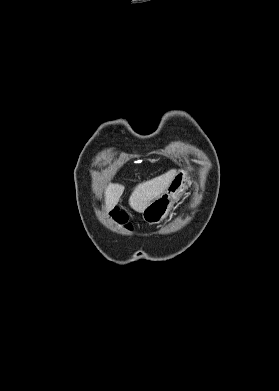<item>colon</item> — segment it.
I'll return each instance as SVG.
<instances>
[{"instance_id":"5ec220e1","label":"colon","mask_w":279,"mask_h":391,"mask_svg":"<svg viewBox=\"0 0 279 391\" xmlns=\"http://www.w3.org/2000/svg\"><path fill=\"white\" fill-rule=\"evenodd\" d=\"M113 217L120 224H126L127 223V216L123 212H114L113 213Z\"/></svg>"}]
</instances>
